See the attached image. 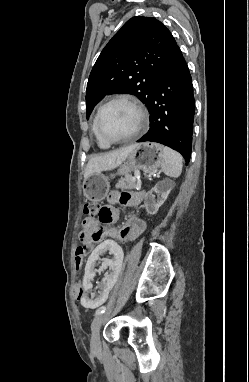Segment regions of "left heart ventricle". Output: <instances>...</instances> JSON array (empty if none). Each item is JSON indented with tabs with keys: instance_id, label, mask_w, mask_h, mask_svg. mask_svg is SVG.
Returning <instances> with one entry per match:
<instances>
[{
	"instance_id": "left-heart-ventricle-1",
	"label": "left heart ventricle",
	"mask_w": 249,
	"mask_h": 382,
	"mask_svg": "<svg viewBox=\"0 0 249 382\" xmlns=\"http://www.w3.org/2000/svg\"><path fill=\"white\" fill-rule=\"evenodd\" d=\"M103 133L111 138H121L132 134L138 123V114L129 104L116 102L106 107L101 116Z\"/></svg>"
}]
</instances>
